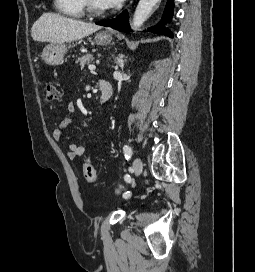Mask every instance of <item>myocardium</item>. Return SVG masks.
Returning <instances> with one entry per match:
<instances>
[{
	"mask_svg": "<svg viewBox=\"0 0 255 272\" xmlns=\"http://www.w3.org/2000/svg\"><path fill=\"white\" fill-rule=\"evenodd\" d=\"M84 9L93 16H102L106 13L104 9H97L92 0H83Z\"/></svg>",
	"mask_w": 255,
	"mask_h": 272,
	"instance_id": "1",
	"label": "myocardium"
}]
</instances>
